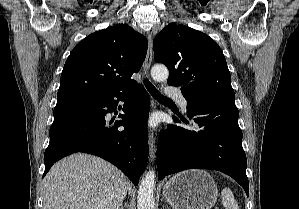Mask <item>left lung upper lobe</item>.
I'll use <instances>...</instances> for the list:
<instances>
[{"mask_svg": "<svg viewBox=\"0 0 299 209\" xmlns=\"http://www.w3.org/2000/svg\"><path fill=\"white\" fill-rule=\"evenodd\" d=\"M154 59L169 69L167 83L181 86L188 100H235L231 76L219 45L208 35L170 23L154 39Z\"/></svg>", "mask_w": 299, "mask_h": 209, "instance_id": "obj_1", "label": "left lung upper lobe"}]
</instances>
